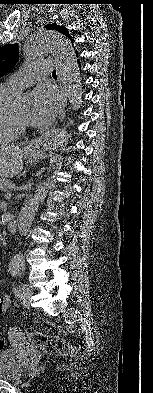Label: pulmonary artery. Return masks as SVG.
Returning a JSON list of instances; mask_svg holds the SVG:
<instances>
[{"label":"pulmonary artery","instance_id":"1","mask_svg":"<svg viewBox=\"0 0 153 393\" xmlns=\"http://www.w3.org/2000/svg\"><path fill=\"white\" fill-rule=\"evenodd\" d=\"M53 67V63L46 60L34 62L25 67L20 73L10 76L4 86L19 92L36 82L43 74H47Z\"/></svg>","mask_w":153,"mask_h":393}]
</instances>
